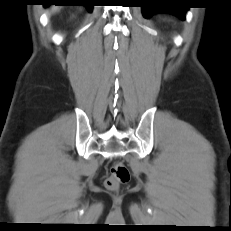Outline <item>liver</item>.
I'll return each mask as SVG.
<instances>
[{
  "label": "liver",
  "mask_w": 231,
  "mask_h": 231,
  "mask_svg": "<svg viewBox=\"0 0 231 231\" xmlns=\"http://www.w3.org/2000/svg\"><path fill=\"white\" fill-rule=\"evenodd\" d=\"M59 10H60V8L57 7V6H52V7L50 8L51 13L58 12Z\"/></svg>",
  "instance_id": "obj_1"
}]
</instances>
